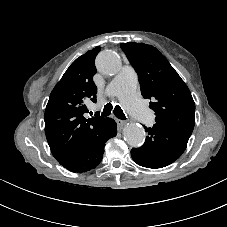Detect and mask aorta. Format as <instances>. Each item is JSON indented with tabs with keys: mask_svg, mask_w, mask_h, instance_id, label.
Segmentation results:
<instances>
[{
	"mask_svg": "<svg viewBox=\"0 0 227 227\" xmlns=\"http://www.w3.org/2000/svg\"><path fill=\"white\" fill-rule=\"evenodd\" d=\"M120 56L112 50L101 51L96 58V67L104 75H116L121 69ZM125 141L133 146H141L145 140V130L137 123H128L123 129Z\"/></svg>",
	"mask_w": 227,
	"mask_h": 227,
	"instance_id": "obj_1",
	"label": "aorta"
}]
</instances>
